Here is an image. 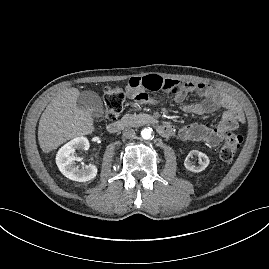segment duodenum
I'll use <instances>...</instances> for the list:
<instances>
[{
  "instance_id": "1",
  "label": "duodenum",
  "mask_w": 269,
  "mask_h": 269,
  "mask_svg": "<svg viewBox=\"0 0 269 269\" xmlns=\"http://www.w3.org/2000/svg\"><path fill=\"white\" fill-rule=\"evenodd\" d=\"M149 122L155 125L157 132L163 137H168L173 134V127L171 125L167 123H157L153 119H150ZM124 125L125 123L123 121H114L108 124L107 130L108 132L115 134L119 132Z\"/></svg>"
}]
</instances>
